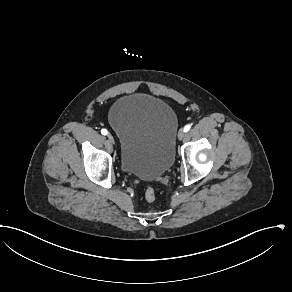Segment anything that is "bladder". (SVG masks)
I'll return each instance as SVG.
<instances>
[{
  "label": "bladder",
  "mask_w": 292,
  "mask_h": 292,
  "mask_svg": "<svg viewBox=\"0 0 292 292\" xmlns=\"http://www.w3.org/2000/svg\"><path fill=\"white\" fill-rule=\"evenodd\" d=\"M108 119L119 138L123 171L152 180L172 166L178 119L167 102L143 93L126 94L114 102Z\"/></svg>",
  "instance_id": "obj_1"
}]
</instances>
